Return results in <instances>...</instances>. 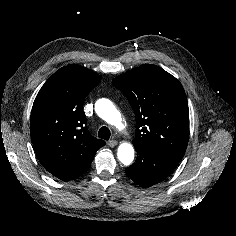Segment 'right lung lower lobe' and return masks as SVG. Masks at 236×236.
Here are the masks:
<instances>
[{"mask_svg": "<svg viewBox=\"0 0 236 236\" xmlns=\"http://www.w3.org/2000/svg\"><path fill=\"white\" fill-rule=\"evenodd\" d=\"M90 165L91 164H89V165H87V166H85V167H83L79 170L64 173V174H61V175L56 176V177L59 178L60 180H63V181H69V180L76 179L79 176H81L84 172H86L88 170V168L90 167Z\"/></svg>", "mask_w": 236, "mask_h": 236, "instance_id": "98d812e1", "label": "right lung lower lobe"}]
</instances>
